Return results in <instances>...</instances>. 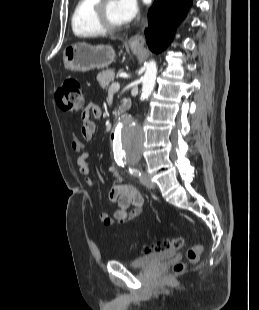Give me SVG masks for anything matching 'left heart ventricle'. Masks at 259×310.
<instances>
[{
	"mask_svg": "<svg viewBox=\"0 0 259 310\" xmlns=\"http://www.w3.org/2000/svg\"><path fill=\"white\" fill-rule=\"evenodd\" d=\"M106 17L109 23L113 25H123L121 17L118 12V5L116 0H109L106 6Z\"/></svg>",
	"mask_w": 259,
	"mask_h": 310,
	"instance_id": "b2bd125f",
	"label": "left heart ventricle"
}]
</instances>
